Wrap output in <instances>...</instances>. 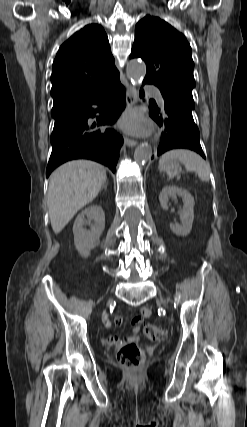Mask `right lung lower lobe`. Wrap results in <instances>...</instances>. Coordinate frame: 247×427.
I'll return each instance as SVG.
<instances>
[{"label": "right lung lower lobe", "mask_w": 247, "mask_h": 427, "mask_svg": "<svg viewBox=\"0 0 247 427\" xmlns=\"http://www.w3.org/2000/svg\"><path fill=\"white\" fill-rule=\"evenodd\" d=\"M125 105V88L118 80L93 97L53 106L55 124L46 177L62 163L82 158L102 163L115 172L123 139L113 129L97 127L114 124ZM90 118H96V122Z\"/></svg>", "instance_id": "98d812e1"}]
</instances>
